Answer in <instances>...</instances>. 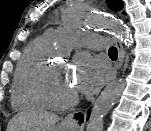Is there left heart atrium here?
<instances>
[{
    "label": "left heart atrium",
    "mask_w": 151,
    "mask_h": 131,
    "mask_svg": "<svg viewBox=\"0 0 151 131\" xmlns=\"http://www.w3.org/2000/svg\"><path fill=\"white\" fill-rule=\"evenodd\" d=\"M73 64L75 70L71 77L74 89L84 94L93 93L103 79L101 66L87 54H79Z\"/></svg>",
    "instance_id": "obj_1"
}]
</instances>
